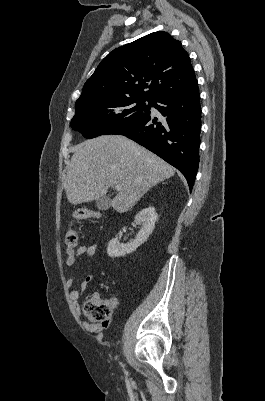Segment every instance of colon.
<instances>
[{
	"label": "colon",
	"mask_w": 265,
	"mask_h": 401,
	"mask_svg": "<svg viewBox=\"0 0 265 401\" xmlns=\"http://www.w3.org/2000/svg\"><path fill=\"white\" fill-rule=\"evenodd\" d=\"M74 218L77 220H84L95 218L98 215L86 208H79L75 210L73 214ZM77 233L73 227H70L66 233L65 237V246L68 250H73L76 248L77 245ZM116 299H100L99 297H92L88 299L84 305L83 310L87 318L93 323H106L115 307H116Z\"/></svg>",
	"instance_id": "1"
}]
</instances>
